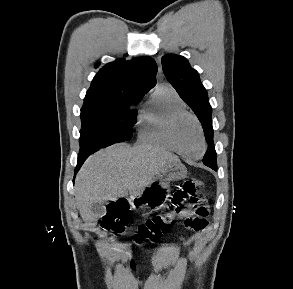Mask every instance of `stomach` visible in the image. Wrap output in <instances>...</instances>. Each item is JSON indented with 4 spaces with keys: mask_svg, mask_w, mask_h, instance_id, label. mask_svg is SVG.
<instances>
[{
    "mask_svg": "<svg viewBox=\"0 0 293 289\" xmlns=\"http://www.w3.org/2000/svg\"><path fill=\"white\" fill-rule=\"evenodd\" d=\"M186 175L187 169L180 161L166 164L140 194L130 197L132 208L161 209L169 197L170 182L181 180Z\"/></svg>",
    "mask_w": 293,
    "mask_h": 289,
    "instance_id": "stomach-1",
    "label": "stomach"
}]
</instances>
